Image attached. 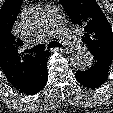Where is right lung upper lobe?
<instances>
[{
    "label": "right lung upper lobe",
    "instance_id": "obj_1",
    "mask_svg": "<svg viewBox=\"0 0 113 113\" xmlns=\"http://www.w3.org/2000/svg\"><path fill=\"white\" fill-rule=\"evenodd\" d=\"M22 1L5 0L0 9V67L14 88L31 77L41 57V53L22 52L23 42L12 34Z\"/></svg>",
    "mask_w": 113,
    "mask_h": 113
}]
</instances>
